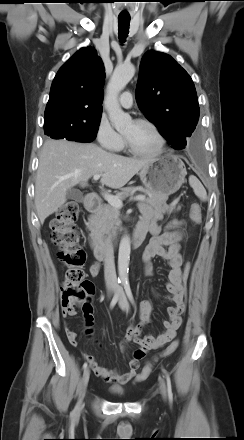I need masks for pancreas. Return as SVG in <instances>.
Instances as JSON below:
<instances>
[{
  "mask_svg": "<svg viewBox=\"0 0 244 440\" xmlns=\"http://www.w3.org/2000/svg\"><path fill=\"white\" fill-rule=\"evenodd\" d=\"M136 191H141L148 195L145 203L153 207L156 211H162L167 214H171L174 210L179 211L181 206H176L174 204L167 205V197L149 193L146 189L140 187H126L121 190V192L116 194L120 200L125 199L130 194ZM119 213L117 209L112 207L110 204L104 205L94 216L89 220V228L91 230L92 237L102 243L104 239L116 235L118 226L121 223L118 218Z\"/></svg>",
  "mask_w": 244,
  "mask_h": 440,
  "instance_id": "cf45deb5",
  "label": "pancreas"
}]
</instances>
